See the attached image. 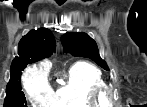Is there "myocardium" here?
<instances>
[{
    "label": "myocardium",
    "instance_id": "1",
    "mask_svg": "<svg viewBox=\"0 0 147 107\" xmlns=\"http://www.w3.org/2000/svg\"><path fill=\"white\" fill-rule=\"evenodd\" d=\"M91 101L98 107H106L112 100V90L107 86H102L93 91Z\"/></svg>",
    "mask_w": 147,
    "mask_h": 107
}]
</instances>
